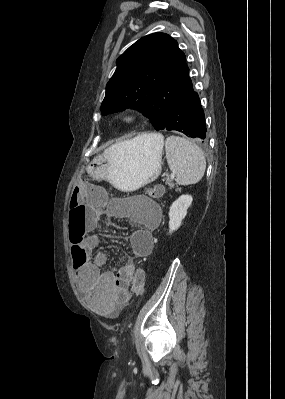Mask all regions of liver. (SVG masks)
Wrapping results in <instances>:
<instances>
[{"instance_id": "obj_1", "label": "liver", "mask_w": 285, "mask_h": 399, "mask_svg": "<svg viewBox=\"0 0 285 399\" xmlns=\"http://www.w3.org/2000/svg\"><path fill=\"white\" fill-rule=\"evenodd\" d=\"M146 135H149V134H144V135H141V136H146Z\"/></svg>"}]
</instances>
